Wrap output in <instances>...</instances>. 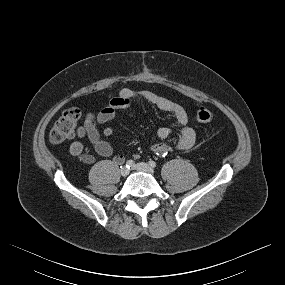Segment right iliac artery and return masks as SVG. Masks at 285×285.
<instances>
[{
  "label": "right iliac artery",
  "instance_id": "1",
  "mask_svg": "<svg viewBox=\"0 0 285 285\" xmlns=\"http://www.w3.org/2000/svg\"><path fill=\"white\" fill-rule=\"evenodd\" d=\"M133 165H134V161H133V160H128V161L126 162V164H125V167H126L127 169H130L131 167H133ZM121 168H122V166H121Z\"/></svg>",
  "mask_w": 285,
  "mask_h": 285
}]
</instances>
